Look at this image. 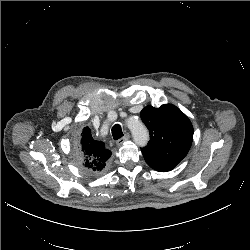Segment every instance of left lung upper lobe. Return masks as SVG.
<instances>
[{"mask_svg": "<svg viewBox=\"0 0 250 250\" xmlns=\"http://www.w3.org/2000/svg\"><path fill=\"white\" fill-rule=\"evenodd\" d=\"M140 116L150 132L148 145L141 149L144 159L159 172L172 170L192 144L193 126L189 118L172 104L146 106Z\"/></svg>", "mask_w": 250, "mask_h": 250, "instance_id": "1", "label": "left lung upper lobe"}]
</instances>
